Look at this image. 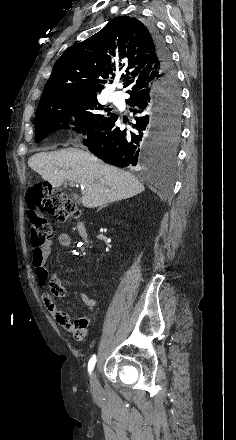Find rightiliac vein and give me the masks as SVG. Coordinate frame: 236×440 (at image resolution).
Returning a JSON list of instances; mask_svg holds the SVG:
<instances>
[{
  "instance_id": "obj_1",
  "label": "right iliac vein",
  "mask_w": 236,
  "mask_h": 440,
  "mask_svg": "<svg viewBox=\"0 0 236 440\" xmlns=\"http://www.w3.org/2000/svg\"><path fill=\"white\" fill-rule=\"evenodd\" d=\"M90 381H91L92 390L97 391L99 389V383H98L97 374H96L95 370L92 372Z\"/></svg>"
}]
</instances>
